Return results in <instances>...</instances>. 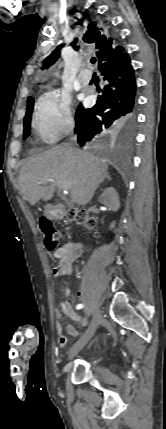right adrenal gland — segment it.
Segmentation results:
<instances>
[{"label":"right adrenal gland","mask_w":166,"mask_h":429,"mask_svg":"<svg viewBox=\"0 0 166 429\" xmlns=\"http://www.w3.org/2000/svg\"><path fill=\"white\" fill-rule=\"evenodd\" d=\"M106 179H107L108 181H110V180H111V177L108 175V176L106 177Z\"/></svg>","instance_id":"right-adrenal-gland-1"}]
</instances>
